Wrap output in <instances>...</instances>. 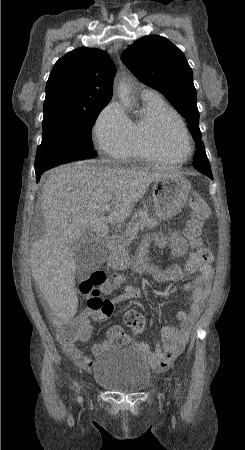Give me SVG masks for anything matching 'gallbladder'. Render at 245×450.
Segmentation results:
<instances>
[{
    "label": "gallbladder",
    "mask_w": 245,
    "mask_h": 450,
    "mask_svg": "<svg viewBox=\"0 0 245 450\" xmlns=\"http://www.w3.org/2000/svg\"><path fill=\"white\" fill-rule=\"evenodd\" d=\"M105 249L104 244L91 233L78 238L71 245V251L76 256V275L80 276L85 270L101 265L105 258Z\"/></svg>",
    "instance_id": "1"
}]
</instances>
